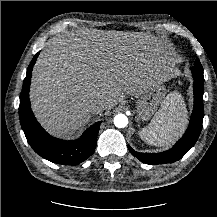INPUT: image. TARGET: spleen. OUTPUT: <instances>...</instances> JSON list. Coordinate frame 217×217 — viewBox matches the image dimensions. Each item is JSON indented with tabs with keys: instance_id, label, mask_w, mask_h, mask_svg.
Segmentation results:
<instances>
[{
	"instance_id": "spleen-1",
	"label": "spleen",
	"mask_w": 217,
	"mask_h": 217,
	"mask_svg": "<svg viewBox=\"0 0 217 217\" xmlns=\"http://www.w3.org/2000/svg\"><path fill=\"white\" fill-rule=\"evenodd\" d=\"M187 122L185 104L178 93H170L161 109L150 124L143 128L139 135L147 144L154 146L171 145Z\"/></svg>"
}]
</instances>
